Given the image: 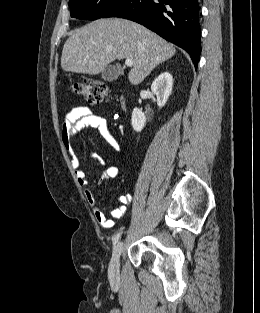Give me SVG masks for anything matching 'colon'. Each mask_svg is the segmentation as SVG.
Segmentation results:
<instances>
[{
    "label": "colon",
    "mask_w": 260,
    "mask_h": 313,
    "mask_svg": "<svg viewBox=\"0 0 260 313\" xmlns=\"http://www.w3.org/2000/svg\"><path fill=\"white\" fill-rule=\"evenodd\" d=\"M73 93L82 96L90 104H100L107 100L109 91L107 86L99 81L83 80L72 85Z\"/></svg>",
    "instance_id": "colon-1"
}]
</instances>
